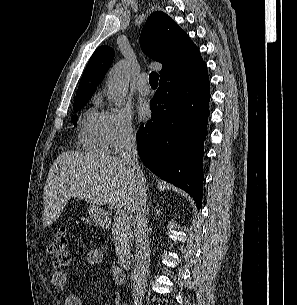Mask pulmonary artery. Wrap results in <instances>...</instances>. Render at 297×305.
Segmentation results:
<instances>
[{
    "mask_svg": "<svg viewBox=\"0 0 297 305\" xmlns=\"http://www.w3.org/2000/svg\"><path fill=\"white\" fill-rule=\"evenodd\" d=\"M148 75L142 73L137 80V90L141 95H149L151 93V88L147 83Z\"/></svg>",
    "mask_w": 297,
    "mask_h": 305,
    "instance_id": "pulmonary-artery-1",
    "label": "pulmonary artery"
}]
</instances>
